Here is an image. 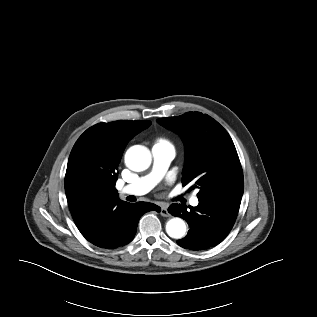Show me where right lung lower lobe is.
<instances>
[{"label": "right lung lower lobe", "mask_w": 317, "mask_h": 317, "mask_svg": "<svg viewBox=\"0 0 317 317\" xmlns=\"http://www.w3.org/2000/svg\"><path fill=\"white\" fill-rule=\"evenodd\" d=\"M67 200L81 234L95 246L106 249L128 244L136 234L140 217L148 211H161L152 203L104 200L76 189L67 194Z\"/></svg>", "instance_id": "right-lung-lower-lobe-1"}]
</instances>
